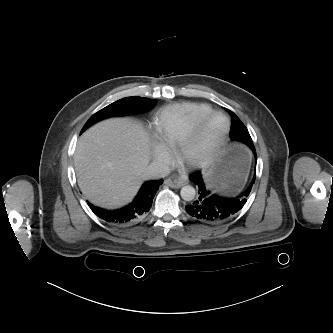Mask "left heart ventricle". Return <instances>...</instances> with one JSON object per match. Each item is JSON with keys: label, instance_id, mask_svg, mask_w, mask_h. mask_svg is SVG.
I'll return each instance as SVG.
<instances>
[{"label": "left heart ventricle", "instance_id": "b2bd125f", "mask_svg": "<svg viewBox=\"0 0 333 333\" xmlns=\"http://www.w3.org/2000/svg\"><path fill=\"white\" fill-rule=\"evenodd\" d=\"M223 124L224 120L221 117H216L207 124L203 134V138L196 147L197 153L204 152L208 141H210L211 139H213L215 136L218 135L221 128L223 127Z\"/></svg>", "mask_w": 333, "mask_h": 333}]
</instances>
